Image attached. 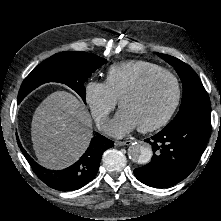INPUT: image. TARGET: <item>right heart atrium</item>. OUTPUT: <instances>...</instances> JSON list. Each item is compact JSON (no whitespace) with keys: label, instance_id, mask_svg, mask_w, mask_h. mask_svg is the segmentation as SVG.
I'll use <instances>...</instances> for the list:
<instances>
[{"label":"right heart atrium","instance_id":"obj_1","mask_svg":"<svg viewBox=\"0 0 221 221\" xmlns=\"http://www.w3.org/2000/svg\"><path fill=\"white\" fill-rule=\"evenodd\" d=\"M83 93L97 123L103 122L116 106L117 99L105 82L89 79L84 84Z\"/></svg>","mask_w":221,"mask_h":221}]
</instances>
